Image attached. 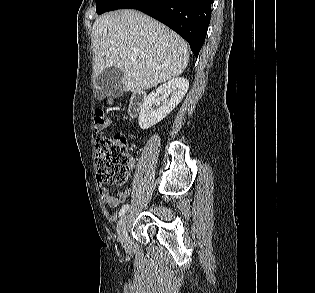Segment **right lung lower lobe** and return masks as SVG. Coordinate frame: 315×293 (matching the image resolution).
Listing matches in <instances>:
<instances>
[{"instance_id":"obj_1","label":"right lung lower lobe","mask_w":315,"mask_h":293,"mask_svg":"<svg viewBox=\"0 0 315 293\" xmlns=\"http://www.w3.org/2000/svg\"><path fill=\"white\" fill-rule=\"evenodd\" d=\"M211 3L212 0H116L107 11L130 8L148 14L182 36L197 57L210 22Z\"/></svg>"}]
</instances>
